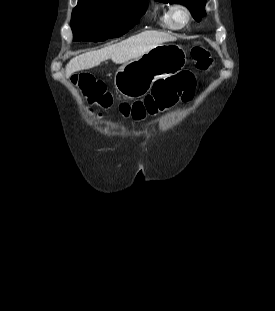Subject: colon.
I'll return each instance as SVG.
<instances>
[{"instance_id": "5ec220e1", "label": "colon", "mask_w": 275, "mask_h": 311, "mask_svg": "<svg viewBox=\"0 0 275 311\" xmlns=\"http://www.w3.org/2000/svg\"><path fill=\"white\" fill-rule=\"evenodd\" d=\"M191 57L200 70H207L213 63L209 51L200 45L193 47ZM73 80L88 93L91 102H98L102 107L110 106L112 98L102 82L95 81L87 73L75 75ZM194 86V76L189 72H181L156 82L151 94L147 95L143 101H136L133 104L123 103L121 105L129 112L135 113L138 118L147 114L154 115L174 105L179 100L188 101L192 96Z\"/></svg>"}]
</instances>
